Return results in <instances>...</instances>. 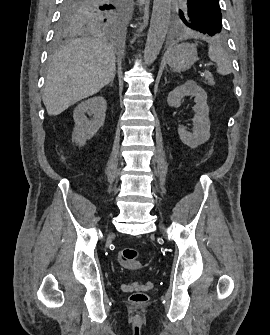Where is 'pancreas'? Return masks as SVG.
<instances>
[{"mask_svg": "<svg viewBox=\"0 0 270 335\" xmlns=\"http://www.w3.org/2000/svg\"><path fill=\"white\" fill-rule=\"evenodd\" d=\"M204 78H205V80H208V84H210V86H214L215 82L212 78L211 72H205Z\"/></svg>", "mask_w": 270, "mask_h": 335, "instance_id": "pancreas-1", "label": "pancreas"}]
</instances>
